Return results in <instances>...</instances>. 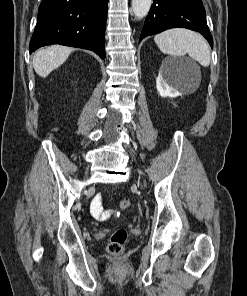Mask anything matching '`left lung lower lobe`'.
I'll return each mask as SVG.
<instances>
[{"label": "left lung lower lobe", "mask_w": 247, "mask_h": 296, "mask_svg": "<svg viewBox=\"0 0 247 296\" xmlns=\"http://www.w3.org/2000/svg\"><path fill=\"white\" fill-rule=\"evenodd\" d=\"M188 28L201 33L213 48L201 0H154L145 20L139 42L170 28Z\"/></svg>", "instance_id": "left-lung-lower-lobe-1"}]
</instances>
